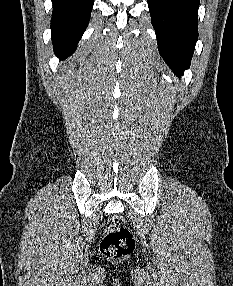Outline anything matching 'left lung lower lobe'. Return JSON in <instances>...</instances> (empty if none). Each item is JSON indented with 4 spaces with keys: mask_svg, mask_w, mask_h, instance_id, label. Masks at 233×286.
Masks as SVG:
<instances>
[{
    "mask_svg": "<svg viewBox=\"0 0 233 286\" xmlns=\"http://www.w3.org/2000/svg\"><path fill=\"white\" fill-rule=\"evenodd\" d=\"M200 0H148L158 49L177 76L189 68L198 39Z\"/></svg>",
    "mask_w": 233,
    "mask_h": 286,
    "instance_id": "1",
    "label": "left lung lower lobe"
}]
</instances>
